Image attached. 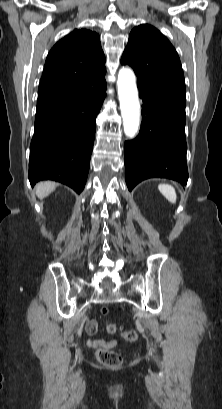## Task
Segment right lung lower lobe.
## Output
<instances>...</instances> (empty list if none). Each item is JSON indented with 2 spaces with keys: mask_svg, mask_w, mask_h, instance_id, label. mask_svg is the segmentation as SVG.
<instances>
[{
  "mask_svg": "<svg viewBox=\"0 0 222 409\" xmlns=\"http://www.w3.org/2000/svg\"><path fill=\"white\" fill-rule=\"evenodd\" d=\"M80 94L37 104L30 145L29 180L64 183L80 193L92 153L96 116L106 96L105 74L92 77Z\"/></svg>",
  "mask_w": 222,
  "mask_h": 409,
  "instance_id": "right-lung-lower-lobe-1",
  "label": "right lung lower lobe"
}]
</instances>
